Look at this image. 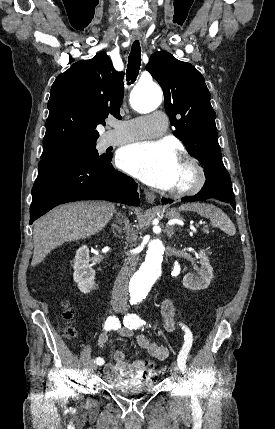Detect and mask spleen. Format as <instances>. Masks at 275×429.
I'll use <instances>...</instances> for the list:
<instances>
[{
  "mask_svg": "<svg viewBox=\"0 0 275 429\" xmlns=\"http://www.w3.org/2000/svg\"><path fill=\"white\" fill-rule=\"evenodd\" d=\"M181 211H190L199 214L219 227L226 234L233 236L236 234V228L230 218L218 207L212 204L191 203L179 207Z\"/></svg>",
  "mask_w": 275,
  "mask_h": 429,
  "instance_id": "3e777b00",
  "label": "spleen"
}]
</instances>
